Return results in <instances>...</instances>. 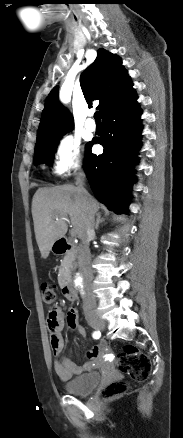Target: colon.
<instances>
[{"label": "colon", "mask_w": 183, "mask_h": 438, "mask_svg": "<svg viewBox=\"0 0 183 438\" xmlns=\"http://www.w3.org/2000/svg\"><path fill=\"white\" fill-rule=\"evenodd\" d=\"M42 300L46 305H52L56 299L55 288L48 283L41 285ZM116 365L119 371L128 374L136 381H144L151 372V362L147 355L141 353L136 347L127 345L118 354ZM127 384L115 381L102 390V397L111 399L123 394Z\"/></svg>", "instance_id": "1"}]
</instances>
